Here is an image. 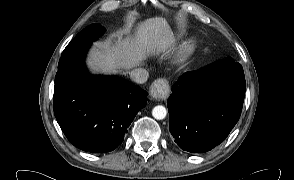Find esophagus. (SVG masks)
<instances>
[{"label": "esophagus", "mask_w": 294, "mask_h": 180, "mask_svg": "<svg viewBox=\"0 0 294 180\" xmlns=\"http://www.w3.org/2000/svg\"><path fill=\"white\" fill-rule=\"evenodd\" d=\"M170 93L169 81L165 78L156 80L150 87L149 95L156 100H164Z\"/></svg>", "instance_id": "34e87169"}]
</instances>
